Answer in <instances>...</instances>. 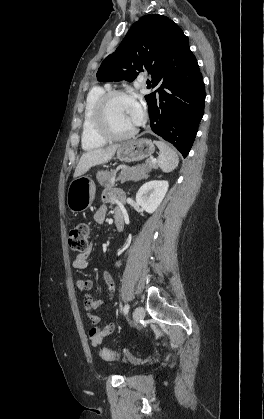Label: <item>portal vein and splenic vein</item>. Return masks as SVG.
<instances>
[{"label": "portal vein and splenic vein", "mask_w": 264, "mask_h": 419, "mask_svg": "<svg viewBox=\"0 0 264 419\" xmlns=\"http://www.w3.org/2000/svg\"><path fill=\"white\" fill-rule=\"evenodd\" d=\"M152 162H154V163H155V162H156V160L154 159V160H152ZM122 182H123V181H122Z\"/></svg>", "instance_id": "1"}]
</instances>
